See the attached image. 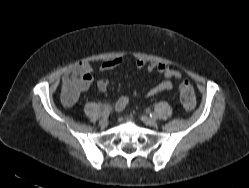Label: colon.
<instances>
[{"label":"colon","mask_w":249,"mask_h":188,"mask_svg":"<svg viewBox=\"0 0 249 188\" xmlns=\"http://www.w3.org/2000/svg\"><path fill=\"white\" fill-rule=\"evenodd\" d=\"M74 75V72H72ZM179 100L186 111L194 109L196 104L195 94L192 85L187 80L179 83Z\"/></svg>","instance_id":"colon-1"}]
</instances>
